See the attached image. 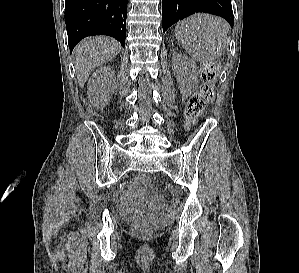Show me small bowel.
<instances>
[{"instance_id": "small-bowel-1", "label": "small bowel", "mask_w": 299, "mask_h": 273, "mask_svg": "<svg viewBox=\"0 0 299 273\" xmlns=\"http://www.w3.org/2000/svg\"><path fill=\"white\" fill-rule=\"evenodd\" d=\"M145 203L148 204L152 208L154 215L160 216L164 213V205L161 201H159L153 197H148L145 199ZM125 208L128 212H131V213L134 212V208L130 201H127L125 203Z\"/></svg>"}]
</instances>
